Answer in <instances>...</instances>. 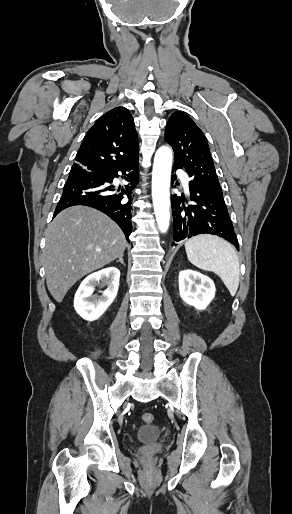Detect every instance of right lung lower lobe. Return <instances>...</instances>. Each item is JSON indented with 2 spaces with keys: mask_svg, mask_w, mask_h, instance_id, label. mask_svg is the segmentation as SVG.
<instances>
[{
  "mask_svg": "<svg viewBox=\"0 0 292 514\" xmlns=\"http://www.w3.org/2000/svg\"><path fill=\"white\" fill-rule=\"evenodd\" d=\"M122 172L128 184L118 189L111 185ZM123 178V176H121ZM139 180L138 159L106 172H73L69 174L54 217L63 209L86 205L100 210L113 219L124 232L127 241L131 233L132 191ZM120 191L119 194L116 192Z\"/></svg>",
  "mask_w": 292,
  "mask_h": 514,
  "instance_id": "obj_1",
  "label": "right lung lower lobe"
}]
</instances>
